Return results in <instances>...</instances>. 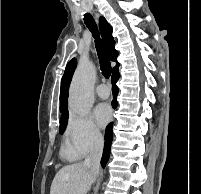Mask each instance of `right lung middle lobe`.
Instances as JSON below:
<instances>
[{
    "label": "right lung middle lobe",
    "instance_id": "obj_1",
    "mask_svg": "<svg viewBox=\"0 0 201 194\" xmlns=\"http://www.w3.org/2000/svg\"><path fill=\"white\" fill-rule=\"evenodd\" d=\"M67 121H68V117L66 118H62L60 120V133L62 134L66 128V125H67Z\"/></svg>",
    "mask_w": 201,
    "mask_h": 194
}]
</instances>
